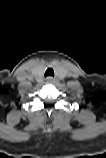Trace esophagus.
Here are the masks:
<instances>
[{
	"instance_id": "1",
	"label": "esophagus",
	"mask_w": 106,
	"mask_h": 158,
	"mask_svg": "<svg viewBox=\"0 0 106 158\" xmlns=\"http://www.w3.org/2000/svg\"><path fill=\"white\" fill-rule=\"evenodd\" d=\"M46 81H47L48 83H53V82L56 81V78H54V77H52V76H48V77L46 78Z\"/></svg>"
}]
</instances>
